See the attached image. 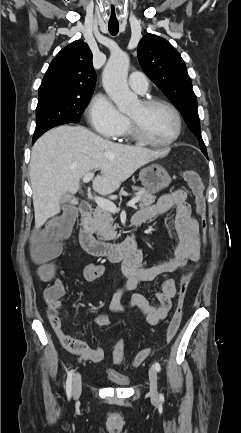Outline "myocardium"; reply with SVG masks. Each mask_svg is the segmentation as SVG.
<instances>
[{
	"label": "myocardium",
	"mask_w": 241,
	"mask_h": 433,
	"mask_svg": "<svg viewBox=\"0 0 241 433\" xmlns=\"http://www.w3.org/2000/svg\"><path fill=\"white\" fill-rule=\"evenodd\" d=\"M141 104L145 108H153L156 106H163L168 108L175 117L176 132L173 135V137L167 141L164 142L153 141L144 134V132L140 129V127L136 124V122L131 117H128L129 128L133 138L142 144L153 146V147H167L174 144L179 139L182 133V118L178 109L170 102L163 99H157V98L144 99L141 101Z\"/></svg>",
	"instance_id": "myocardium-1"
}]
</instances>
